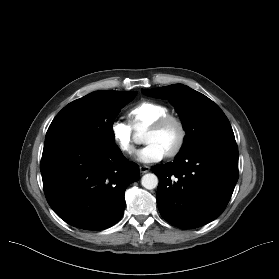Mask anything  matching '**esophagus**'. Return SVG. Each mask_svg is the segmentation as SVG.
<instances>
[{
    "label": "esophagus",
    "mask_w": 279,
    "mask_h": 279,
    "mask_svg": "<svg viewBox=\"0 0 279 279\" xmlns=\"http://www.w3.org/2000/svg\"><path fill=\"white\" fill-rule=\"evenodd\" d=\"M149 170H150L149 166L146 165L140 166V172L143 174L149 172Z\"/></svg>",
    "instance_id": "1"
}]
</instances>
